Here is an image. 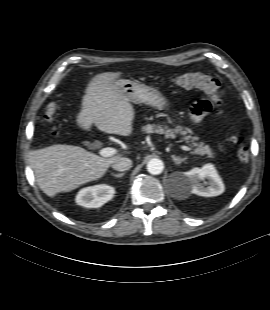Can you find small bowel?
<instances>
[{"label": "small bowel", "mask_w": 270, "mask_h": 310, "mask_svg": "<svg viewBox=\"0 0 270 310\" xmlns=\"http://www.w3.org/2000/svg\"><path fill=\"white\" fill-rule=\"evenodd\" d=\"M193 119L198 120L203 114L199 113L195 108L193 109Z\"/></svg>", "instance_id": "c3829d8e"}]
</instances>
